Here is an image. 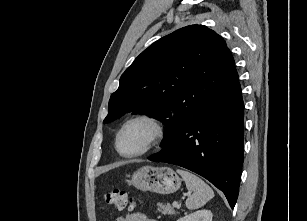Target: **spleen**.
<instances>
[{
	"label": "spleen",
	"mask_w": 307,
	"mask_h": 221,
	"mask_svg": "<svg viewBox=\"0 0 307 221\" xmlns=\"http://www.w3.org/2000/svg\"><path fill=\"white\" fill-rule=\"evenodd\" d=\"M177 173L182 176L187 189L192 193L186 200V207L189 210H195L204 206L214 197L211 187L195 174L182 169H178Z\"/></svg>",
	"instance_id": "spleen-1"
}]
</instances>
